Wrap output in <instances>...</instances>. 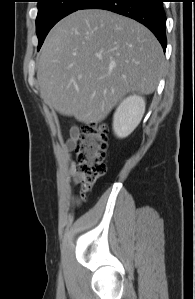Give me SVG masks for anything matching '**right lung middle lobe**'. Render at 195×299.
<instances>
[{
  "label": "right lung middle lobe",
  "mask_w": 195,
  "mask_h": 299,
  "mask_svg": "<svg viewBox=\"0 0 195 299\" xmlns=\"http://www.w3.org/2000/svg\"><path fill=\"white\" fill-rule=\"evenodd\" d=\"M88 0H38L36 32L40 49L50 29L63 17L79 10Z\"/></svg>",
  "instance_id": "obj_1"
}]
</instances>
